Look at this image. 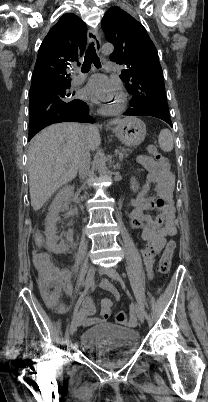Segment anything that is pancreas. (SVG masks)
I'll return each mask as SVG.
<instances>
[{"instance_id": "cf45deb5", "label": "pancreas", "mask_w": 208, "mask_h": 402, "mask_svg": "<svg viewBox=\"0 0 208 402\" xmlns=\"http://www.w3.org/2000/svg\"><path fill=\"white\" fill-rule=\"evenodd\" d=\"M127 152H131V150H129V148H121L120 150V154H122V156H126Z\"/></svg>"}]
</instances>
